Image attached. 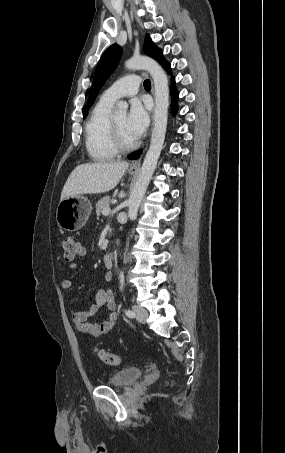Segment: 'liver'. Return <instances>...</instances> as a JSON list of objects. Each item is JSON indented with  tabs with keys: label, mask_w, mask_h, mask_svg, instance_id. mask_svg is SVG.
<instances>
[{
	"label": "liver",
	"mask_w": 285,
	"mask_h": 453,
	"mask_svg": "<svg viewBox=\"0 0 285 453\" xmlns=\"http://www.w3.org/2000/svg\"><path fill=\"white\" fill-rule=\"evenodd\" d=\"M126 161H101L81 164L68 177L61 200L82 194L105 193L117 186L127 170Z\"/></svg>",
	"instance_id": "obj_1"
}]
</instances>
